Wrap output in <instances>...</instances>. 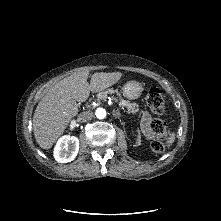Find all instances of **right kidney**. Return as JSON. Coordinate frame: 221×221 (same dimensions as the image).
<instances>
[{"mask_svg":"<svg viewBox=\"0 0 221 221\" xmlns=\"http://www.w3.org/2000/svg\"><path fill=\"white\" fill-rule=\"evenodd\" d=\"M79 151V140L75 136H63L54 149V157L60 163H68L75 159Z\"/></svg>","mask_w":221,"mask_h":221,"instance_id":"ca27d5eb","label":"right kidney"}]
</instances>
